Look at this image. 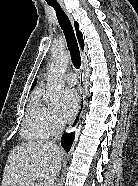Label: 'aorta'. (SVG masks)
Wrapping results in <instances>:
<instances>
[{"instance_id":"762f6f07","label":"aorta","mask_w":138,"mask_h":186,"mask_svg":"<svg viewBox=\"0 0 138 186\" xmlns=\"http://www.w3.org/2000/svg\"><path fill=\"white\" fill-rule=\"evenodd\" d=\"M69 60L70 54L67 52H56L52 57L47 76V95L53 104L59 101L64 89V74Z\"/></svg>"}]
</instances>
